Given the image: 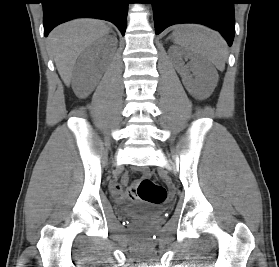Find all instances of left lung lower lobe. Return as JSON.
<instances>
[{
  "mask_svg": "<svg viewBox=\"0 0 279 267\" xmlns=\"http://www.w3.org/2000/svg\"><path fill=\"white\" fill-rule=\"evenodd\" d=\"M156 34L176 23H199L219 31L232 45L234 0H151Z\"/></svg>",
  "mask_w": 279,
  "mask_h": 267,
  "instance_id": "left-lung-lower-lobe-1",
  "label": "left lung lower lobe"
}]
</instances>
